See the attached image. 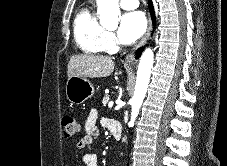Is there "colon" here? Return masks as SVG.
I'll return each mask as SVG.
<instances>
[{
    "label": "colon",
    "instance_id": "5ec220e1",
    "mask_svg": "<svg viewBox=\"0 0 227 166\" xmlns=\"http://www.w3.org/2000/svg\"><path fill=\"white\" fill-rule=\"evenodd\" d=\"M63 134L66 139H72L79 133V126L73 116H64L62 119Z\"/></svg>",
    "mask_w": 227,
    "mask_h": 166
}]
</instances>
